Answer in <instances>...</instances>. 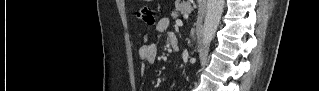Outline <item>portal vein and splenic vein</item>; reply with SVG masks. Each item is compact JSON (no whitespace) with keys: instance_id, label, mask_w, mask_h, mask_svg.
Instances as JSON below:
<instances>
[{"instance_id":"portal-vein-and-splenic-vein-1","label":"portal vein and splenic vein","mask_w":319,"mask_h":91,"mask_svg":"<svg viewBox=\"0 0 319 91\" xmlns=\"http://www.w3.org/2000/svg\"><path fill=\"white\" fill-rule=\"evenodd\" d=\"M176 25H177V26H182V25H183V23H182V21H181V20H176Z\"/></svg>"}]
</instances>
